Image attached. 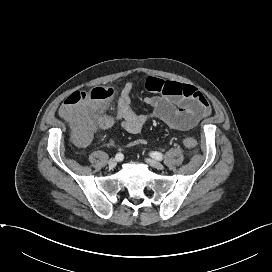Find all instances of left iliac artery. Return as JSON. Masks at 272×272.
Masks as SVG:
<instances>
[{"mask_svg":"<svg viewBox=\"0 0 272 272\" xmlns=\"http://www.w3.org/2000/svg\"><path fill=\"white\" fill-rule=\"evenodd\" d=\"M151 157L156 159V160H162L163 155L160 152H151Z\"/></svg>","mask_w":272,"mask_h":272,"instance_id":"left-iliac-artery-1","label":"left iliac artery"}]
</instances>
